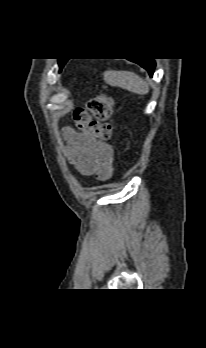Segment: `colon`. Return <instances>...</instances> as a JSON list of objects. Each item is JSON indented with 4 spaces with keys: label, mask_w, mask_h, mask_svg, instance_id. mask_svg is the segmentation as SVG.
<instances>
[{
    "label": "colon",
    "mask_w": 206,
    "mask_h": 348,
    "mask_svg": "<svg viewBox=\"0 0 206 348\" xmlns=\"http://www.w3.org/2000/svg\"><path fill=\"white\" fill-rule=\"evenodd\" d=\"M113 101L105 94H99L89 100L85 109L74 113L76 128L92 137L100 140H110L113 129L108 122L112 113Z\"/></svg>",
    "instance_id": "5ec220e1"
}]
</instances>
